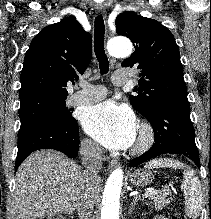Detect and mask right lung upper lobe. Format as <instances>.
I'll return each instance as SVG.
<instances>
[{"instance_id":"1","label":"right lung upper lobe","mask_w":211,"mask_h":219,"mask_svg":"<svg viewBox=\"0 0 211 219\" xmlns=\"http://www.w3.org/2000/svg\"><path fill=\"white\" fill-rule=\"evenodd\" d=\"M92 56V38L73 17L42 29L32 40L21 71L20 102L67 98V82L78 79Z\"/></svg>"}]
</instances>
